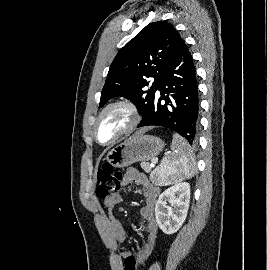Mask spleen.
<instances>
[{"label":"spleen","mask_w":267,"mask_h":270,"mask_svg":"<svg viewBox=\"0 0 267 270\" xmlns=\"http://www.w3.org/2000/svg\"><path fill=\"white\" fill-rule=\"evenodd\" d=\"M195 162L188 143L179 135L173 134L171 152L162 159L157 175L159 184L170 185L194 176Z\"/></svg>","instance_id":"3e777b00"}]
</instances>
